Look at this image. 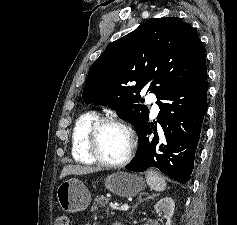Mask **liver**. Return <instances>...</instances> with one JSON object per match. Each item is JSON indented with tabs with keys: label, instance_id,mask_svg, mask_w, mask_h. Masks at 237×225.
Wrapping results in <instances>:
<instances>
[{
	"label": "liver",
	"instance_id": "6515ba94",
	"mask_svg": "<svg viewBox=\"0 0 237 225\" xmlns=\"http://www.w3.org/2000/svg\"><path fill=\"white\" fill-rule=\"evenodd\" d=\"M100 168L80 166V165H66L63 167V170L60 175V179L64 178L67 175H84L93 172L100 171Z\"/></svg>",
	"mask_w": 237,
	"mask_h": 225
}]
</instances>
